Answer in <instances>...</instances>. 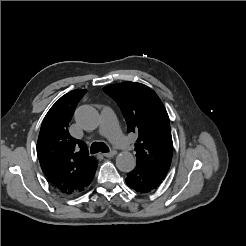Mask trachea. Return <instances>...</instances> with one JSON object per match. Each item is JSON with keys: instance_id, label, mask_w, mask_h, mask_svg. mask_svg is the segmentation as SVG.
<instances>
[{"instance_id": "obj_1", "label": "trachea", "mask_w": 246, "mask_h": 246, "mask_svg": "<svg viewBox=\"0 0 246 246\" xmlns=\"http://www.w3.org/2000/svg\"><path fill=\"white\" fill-rule=\"evenodd\" d=\"M90 152H91V154H95V153H98V152L106 153V152H109V148L103 142H94L91 145Z\"/></svg>"}]
</instances>
